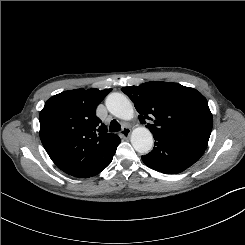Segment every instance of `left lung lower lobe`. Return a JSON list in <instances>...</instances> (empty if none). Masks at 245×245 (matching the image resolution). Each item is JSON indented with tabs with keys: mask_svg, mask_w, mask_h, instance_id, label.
<instances>
[{
	"mask_svg": "<svg viewBox=\"0 0 245 245\" xmlns=\"http://www.w3.org/2000/svg\"><path fill=\"white\" fill-rule=\"evenodd\" d=\"M155 147L142 156L150 168L165 174L180 173L193 165L205 149L196 145L165 137L154 136Z\"/></svg>",
	"mask_w": 245,
	"mask_h": 245,
	"instance_id": "obj_1",
	"label": "left lung lower lobe"
}]
</instances>
